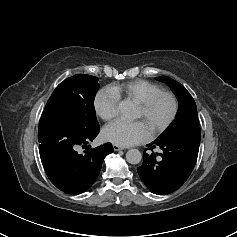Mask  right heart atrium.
<instances>
[{"label": "right heart atrium", "instance_id": "obj_1", "mask_svg": "<svg viewBox=\"0 0 237 237\" xmlns=\"http://www.w3.org/2000/svg\"><path fill=\"white\" fill-rule=\"evenodd\" d=\"M93 106L96 114L102 120L110 121L118 113L119 98L109 88H103L95 95Z\"/></svg>", "mask_w": 237, "mask_h": 237}]
</instances>
